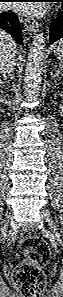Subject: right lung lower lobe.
Listing matches in <instances>:
<instances>
[{
  "label": "right lung lower lobe",
  "instance_id": "98d812e1",
  "mask_svg": "<svg viewBox=\"0 0 63 297\" xmlns=\"http://www.w3.org/2000/svg\"><path fill=\"white\" fill-rule=\"evenodd\" d=\"M0 28L10 33L16 42L22 44V32L20 29L18 18L14 13H0Z\"/></svg>",
  "mask_w": 63,
  "mask_h": 297
}]
</instances>
